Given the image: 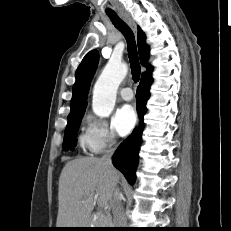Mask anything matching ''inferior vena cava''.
Returning a JSON list of instances; mask_svg holds the SVG:
<instances>
[{
	"label": "inferior vena cava",
	"instance_id": "1",
	"mask_svg": "<svg viewBox=\"0 0 231 231\" xmlns=\"http://www.w3.org/2000/svg\"><path fill=\"white\" fill-rule=\"evenodd\" d=\"M114 150H110L108 153L102 156L101 160L108 166L109 169H114L112 164V156ZM115 197V210H114V225L116 228H124L127 224V218L123 211V206L121 204V196L119 195V189L115 187L114 189Z\"/></svg>",
	"mask_w": 231,
	"mask_h": 231
}]
</instances>
